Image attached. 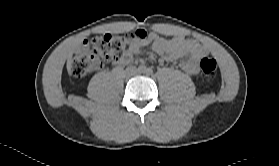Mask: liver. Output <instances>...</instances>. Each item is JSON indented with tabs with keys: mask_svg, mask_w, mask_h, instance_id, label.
Here are the masks:
<instances>
[{
	"mask_svg": "<svg viewBox=\"0 0 279 166\" xmlns=\"http://www.w3.org/2000/svg\"><path fill=\"white\" fill-rule=\"evenodd\" d=\"M72 52L69 53V56H68V61H67V70L68 72L71 71V68H72Z\"/></svg>",
	"mask_w": 279,
	"mask_h": 166,
	"instance_id": "1",
	"label": "liver"
}]
</instances>
